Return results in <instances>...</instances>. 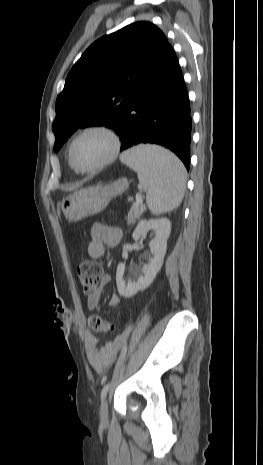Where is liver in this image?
Instances as JSON below:
<instances>
[{
  "instance_id": "6515ba94",
  "label": "liver",
  "mask_w": 263,
  "mask_h": 465,
  "mask_svg": "<svg viewBox=\"0 0 263 465\" xmlns=\"http://www.w3.org/2000/svg\"><path fill=\"white\" fill-rule=\"evenodd\" d=\"M79 184L77 185H73V186H70V187H67L65 188L66 191H72V190H77L79 188Z\"/></svg>"
}]
</instances>
